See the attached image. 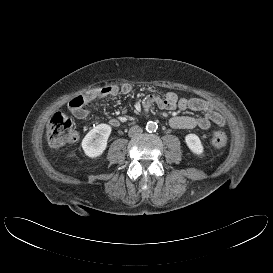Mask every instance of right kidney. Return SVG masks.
I'll return each mask as SVG.
<instances>
[{
    "instance_id": "obj_1",
    "label": "right kidney",
    "mask_w": 273,
    "mask_h": 273,
    "mask_svg": "<svg viewBox=\"0 0 273 273\" xmlns=\"http://www.w3.org/2000/svg\"><path fill=\"white\" fill-rule=\"evenodd\" d=\"M111 130L112 128L108 124H99L91 129L82 140L85 155L90 158L101 156L107 147Z\"/></svg>"
}]
</instances>
